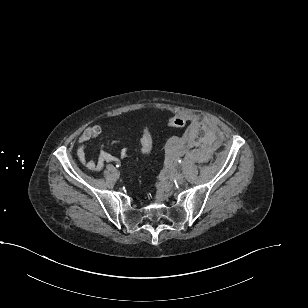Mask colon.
<instances>
[{"label": "colon", "mask_w": 308, "mask_h": 308, "mask_svg": "<svg viewBox=\"0 0 308 308\" xmlns=\"http://www.w3.org/2000/svg\"><path fill=\"white\" fill-rule=\"evenodd\" d=\"M185 125V119L181 116H173L168 121V126L172 128H180ZM152 148V134L150 130H146L142 138V150L148 153Z\"/></svg>", "instance_id": "colon-1"}]
</instances>
